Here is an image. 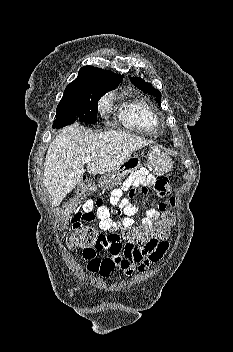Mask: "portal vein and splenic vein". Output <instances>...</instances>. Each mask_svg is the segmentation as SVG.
Wrapping results in <instances>:
<instances>
[{"label":"portal vein and splenic vein","instance_id":"obj_1","mask_svg":"<svg viewBox=\"0 0 233 352\" xmlns=\"http://www.w3.org/2000/svg\"><path fill=\"white\" fill-rule=\"evenodd\" d=\"M91 160H92L91 157H85L83 161H84L85 163H88V162H90Z\"/></svg>","mask_w":233,"mask_h":352}]
</instances>
